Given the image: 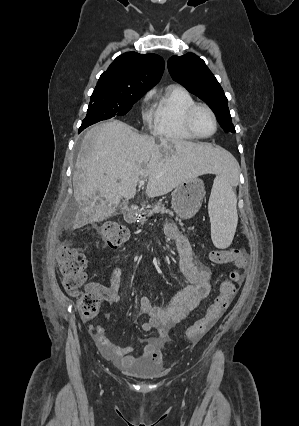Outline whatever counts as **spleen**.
<instances>
[{"mask_svg":"<svg viewBox=\"0 0 299 426\" xmlns=\"http://www.w3.org/2000/svg\"><path fill=\"white\" fill-rule=\"evenodd\" d=\"M236 164L233 165L235 167ZM211 239L215 247L225 249L234 238L238 223L237 197L226 173L214 180L208 203Z\"/></svg>","mask_w":299,"mask_h":426,"instance_id":"spleen-1","label":"spleen"}]
</instances>
